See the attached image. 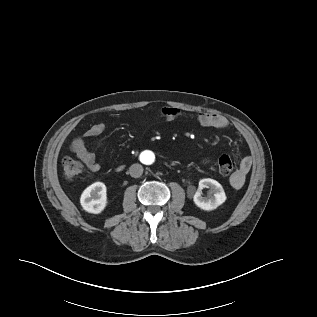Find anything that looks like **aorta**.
Listing matches in <instances>:
<instances>
[{"instance_id": "aorta-1", "label": "aorta", "mask_w": 317, "mask_h": 317, "mask_svg": "<svg viewBox=\"0 0 317 317\" xmlns=\"http://www.w3.org/2000/svg\"><path fill=\"white\" fill-rule=\"evenodd\" d=\"M141 161L145 164V165H152L154 164L155 162V154L151 151H146V152H143L141 154Z\"/></svg>"}]
</instances>
